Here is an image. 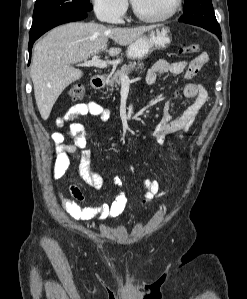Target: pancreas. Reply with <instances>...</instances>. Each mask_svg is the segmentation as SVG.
<instances>
[{"instance_id": "pancreas-1", "label": "pancreas", "mask_w": 247, "mask_h": 299, "mask_svg": "<svg viewBox=\"0 0 247 299\" xmlns=\"http://www.w3.org/2000/svg\"><path fill=\"white\" fill-rule=\"evenodd\" d=\"M144 63L140 62H130L127 65H123L121 69L117 70L108 80V85L110 86V91L114 88L117 90L120 83L122 75H129L133 70L143 71Z\"/></svg>"}]
</instances>
